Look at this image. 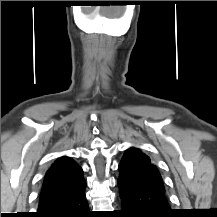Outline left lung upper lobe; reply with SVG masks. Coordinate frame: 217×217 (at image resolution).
Listing matches in <instances>:
<instances>
[{"instance_id":"5c2ea615","label":"left lung upper lobe","mask_w":217,"mask_h":217,"mask_svg":"<svg viewBox=\"0 0 217 217\" xmlns=\"http://www.w3.org/2000/svg\"><path fill=\"white\" fill-rule=\"evenodd\" d=\"M120 174H125L136 184L158 188L165 191L161 174L150 158L137 148L125 151L119 164Z\"/></svg>"}]
</instances>
